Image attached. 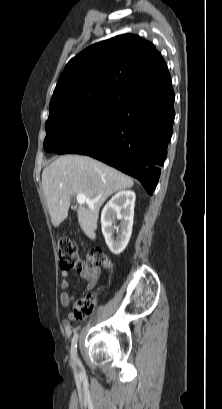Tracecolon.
<instances>
[{"label":"colon","instance_id":"1","mask_svg":"<svg viewBox=\"0 0 222 409\" xmlns=\"http://www.w3.org/2000/svg\"><path fill=\"white\" fill-rule=\"evenodd\" d=\"M58 257L60 267L64 271L70 269H92L99 266H103L107 270L112 269L111 260L103 252L94 249L85 257H81L75 243L68 238H60L58 240ZM94 305L95 297L93 294L87 293L82 295L73 304V318H85L92 312Z\"/></svg>","mask_w":222,"mask_h":409}]
</instances>
